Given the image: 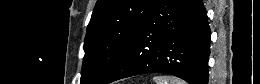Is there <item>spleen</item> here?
<instances>
[{
  "label": "spleen",
  "instance_id": "1",
  "mask_svg": "<svg viewBox=\"0 0 260 84\" xmlns=\"http://www.w3.org/2000/svg\"><path fill=\"white\" fill-rule=\"evenodd\" d=\"M156 84H186L185 81L179 79L178 77L168 76V75H158L153 78Z\"/></svg>",
  "mask_w": 260,
  "mask_h": 84
}]
</instances>
